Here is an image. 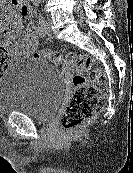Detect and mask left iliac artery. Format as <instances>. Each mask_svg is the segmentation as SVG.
Instances as JSON below:
<instances>
[{"mask_svg":"<svg viewBox=\"0 0 133 173\" xmlns=\"http://www.w3.org/2000/svg\"><path fill=\"white\" fill-rule=\"evenodd\" d=\"M44 26H45V19H44L43 15L39 14L38 22H37V31L40 35H42V33H43Z\"/></svg>","mask_w":133,"mask_h":173,"instance_id":"1","label":"left iliac artery"}]
</instances>
